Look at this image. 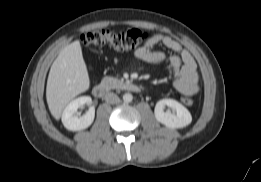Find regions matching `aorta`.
Here are the masks:
<instances>
[{
    "label": "aorta",
    "instance_id": "1",
    "mask_svg": "<svg viewBox=\"0 0 261 182\" xmlns=\"http://www.w3.org/2000/svg\"><path fill=\"white\" fill-rule=\"evenodd\" d=\"M132 100H133L132 94H130V93H125V94L123 95V101H124L125 103H130Z\"/></svg>",
    "mask_w": 261,
    "mask_h": 182
}]
</instances>
